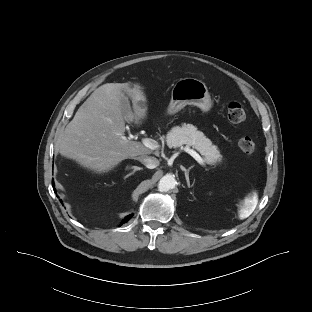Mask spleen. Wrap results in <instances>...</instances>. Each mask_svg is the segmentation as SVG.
Instances as JSON below:
<instances>
[{
    "instance_id": "3e777b00",
    "label": "spleen",
    "mask_w": 312,
    "mask_h": 312,
    "mask_svg": "<svg viewBox=\"0 0 312 312\" xmlns=\"http://www.w3.org/2000/svg\"><path fill=\"white\" fill-rule=\"evenodd\" d=\"M257 202H258V198L256 195H254L251 198H247L240 208L239 218L240 219L247 218L254 211L257 205Z\"/></svg>"
}]
</instances>
